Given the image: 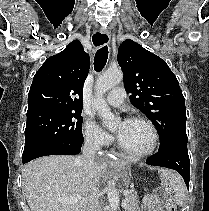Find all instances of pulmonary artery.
<instances>
[{"mask_svg": "<svg viewBox=\"0 0 209 211\" xmlns=\"http://www.w3.org/2000/svg\"><path fill=\"white\" fill-rule=\"evenodd\" d=\"M125 99V90L122 87L112 89L106 96V102L112 106H120Z\"/></svg>", "mask_w": 209, "mask_h": 211, "instance_id": "e3ab8cb5", "label": "pulmonary artery"}]
</instances>
